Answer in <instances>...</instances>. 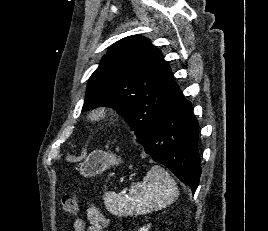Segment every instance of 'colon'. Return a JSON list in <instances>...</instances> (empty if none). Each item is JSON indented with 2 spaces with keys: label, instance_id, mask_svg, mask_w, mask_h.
<instances>
[{
  "label": "colon",
  "instance_id": "obj_1",
  "mask_svg": "<svg viewBox=\"0 0 268 231\" xmlns=\"http://www.w3.org/2000/svg\"><path fill=\"white\" fill-rule=\"evenodd\" d=\"M62 209L66 214L75 215L78 212L77 199L70 195H64L61 200Z\"/></svg>",
  "mask_w": 268,
  "mask_h": 231
}]
</instances>
